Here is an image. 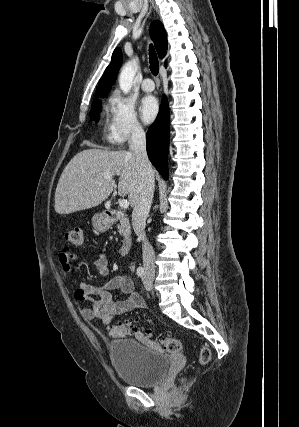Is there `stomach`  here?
<instances>
[{"mask_svg": "<svg viewBox=\"0 0 299 427\" xmlns=\"http://www.w3.org/2000/svg\"><path fill=\"white\" fill-rule=\"evenodd\" d=\"M93 224L94 226L98 229V230H106L109 226H110V221L109 219L102 215V214H96L93 217Z\"/></svg>", "mask_w": 299, "mask_h": 427, "instance_id": "1", "label": "stomach"}]
</instances>
